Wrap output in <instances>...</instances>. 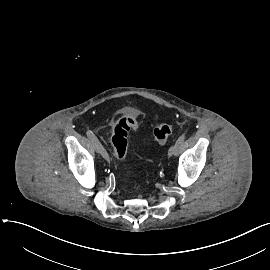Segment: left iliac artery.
I'll list each match as a JSON object with an SVG mask.
<instances>
[{
  "label": "left iliac artery",
  "mask_w": 270,
  "mask_h": 270,
  "mask_svg": "<svg viewBox=\"0 0 270 270\" xmlns=\"http://www.w3.org/2000/svg\"><path fill=\"white\" fill-rule=\"evenodd\" d=\"M185 134H182L178 139H177V141H176V143H175V145H176V153L175 154H177L180 150H181V148H182V145H183V143H184V140H185Z\"/></svg>",
  "instance_id": "1"
}]
</instances>
